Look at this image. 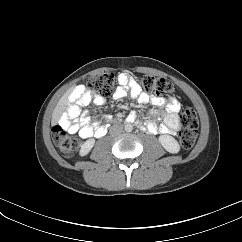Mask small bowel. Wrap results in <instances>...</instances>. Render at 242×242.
I'll list each match as a JSON object with an SVG mask.
<instances>
[{
	"label": "small bowel",
	"instance_id": "obj_1",
	"mask_svg": "<svg viewBox=\"0 0 242 242\" xmlns=\"http://www.w3.org/2000/svg\"><path fill=\"white\" fill-rule=\"evenodd\" d=\"M119 86L117 87L114 97L117 100H123L127 95L136 99L141 104L151 103L155 108L149 113L155 118H162L164 124L158 126L156 122L148 123L147 130L149 133H166L172 134L180 129V121L178 113L181 104L176 98L165 99L156 95H149L143 92L138 85L131 82L125 74H120ZM91 99V93L83 87H79L69 97V107L67 111L60 117V124L69 132L76 133L80 137L87 139L93 136H102L101 132L105 130L101 123L109 121V117L98 114L89 115L81 109ZM93 103L97 107L105 104V99L101 96H94ZM164 108V109H163Z\"/></svg>",
	"mask_w": 242,
	"mask_h": 242
}]
</instances>
